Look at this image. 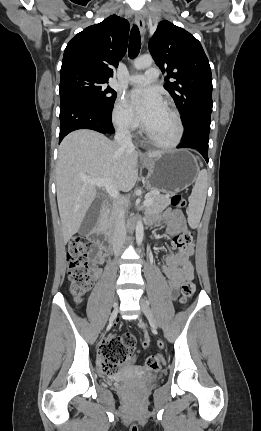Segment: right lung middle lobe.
Returning <instances> with one entry per match:
<instances>
[{
	"mask_svg": "<svg viewBox=\"0 0 261 431\" xmlns=\"http://www.w3.org/2000/svg\"><path fill=\"white\" fill-rule=\"evenodd\" d=\"M105 83L107 80L88 73H68L60 78V96L77 97L101 110H108L113 107L117 94Z\"/></svg>",
	"mask_w": 261,
	"mask_h": 431,
	"instance_id": "right-lung-middle-lobe-1",
	"label": "right lung middle lobe"
}]
</instances>
